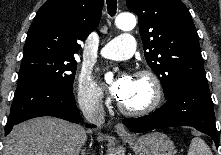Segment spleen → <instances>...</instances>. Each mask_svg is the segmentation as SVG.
Wrapping results in <instances>:
<instances>
[{
  "mask_svg": "<svg viewBox=\"0 0 221 155\" xmlns=\"http://www.w3.org/2000/svg\"><path fill=\"white\" fill-rule=\"evenodd\" d=\"M187 155H212L209 146L199 137H194Z\"/></svg>",
  "mask_w": 221,
  "mask_h": 155,
  "instance_id": "1",
  "label": "spleen"
}]
</instances>
